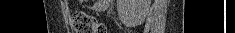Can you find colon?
Segmentation results:
<instances>
[{
  "label": "colon",
  "instance_id": "colon-1",
  "mask_svg": "<svg viewBox=\"0 0 235 33\" xmlns=\"http://www.w3.org/2000/svg\"><path fill=\"white\" fill-rule=\"evenodd\" d=\"M72 25L76 33H105V26L95 17L84 12H76L72 16Z\"/></svg>",
  "mask_w": 235,
  "mask_h": 33
}]
</instances>
